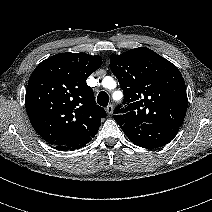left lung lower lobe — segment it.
I'll return each instance as SVG.
<instances>
[{"mask_svg":"<svg viewBox=\"0 0 212 212\" xmlns=\"http://www.w3.org/2000/svg\"><path fill=\"white\" fill-rule=\"evenodd\" d=\"M179 126L168 124H142L124 130L131 142L147 149L159 148L168 144L177 134Z\"/></svg>","mask_w":212,"mask_h":212,"instance_id":"0a47b994","label":"left lung lower lobe"}]
</instances>
